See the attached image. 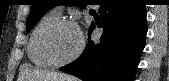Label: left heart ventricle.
<instances>
[{
    "mask_svg": "<svg viewBox=\"0 0 169 81\" xmlns=\"http://www.w3.org/2000/svg\"><path fill=\"white\" fill-rule=\"evenodd\" d=\"M80 45V34L73 26L60 28L51 40V50L53 55L60 60H65L72 56Z\"/></svg>",
    "mask_w": 169,
    "mask_h": 81,
    "instance_id": "obj_1",
    "label": "left heart ventricle"
}]
</instances>
